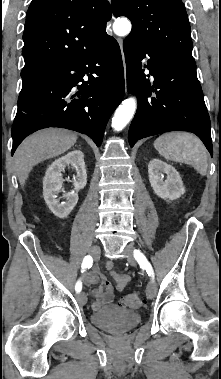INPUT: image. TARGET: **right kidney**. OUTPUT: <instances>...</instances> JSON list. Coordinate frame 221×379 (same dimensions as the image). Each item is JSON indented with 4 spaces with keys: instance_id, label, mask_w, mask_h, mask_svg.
<instances>
[{
    "instance_id": "1",
    "label": "right kidney",
    "mask_w": 221,
    "mask_h": 379,
    "mask_svg": "<svg viewBox=\"0 0 221 379\" xmlns=\"http://www.w3.org/2000/svg\"><path fill=\"white\" fill-rule=\"evenodd\" d=\"M73 166L77 172L74 177L72 192L63 194L65 200L59 202L56 194L61 191L63 185L62 171L66 166ZM87 184V173L84 162V154L80 150H73L55 160L47 169L43 179V197L53 214L59 218H66L78 202V191Z\"/></svg>"
}]
</instances>
